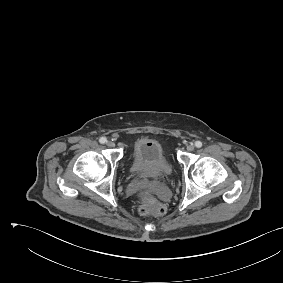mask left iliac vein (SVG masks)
Segmentation results:
<instances>
[{
	"label": "left iliac vein",
	"instance_id": "1",
	"mask_svg": "<svg viewBox=\"0 0 283 283\" xmlns=\"http://www.w3.org/2000/svg\"><path fill=\"white\" fill-rule=\"evenodd\" d=\"M194 148H195V146H194V144H192V143H190V144L187 145V150L190 151V152L193 151Z\"/></svg>",
	"mask_w": 283,
	"mask_h": 283
}]
</instances>
